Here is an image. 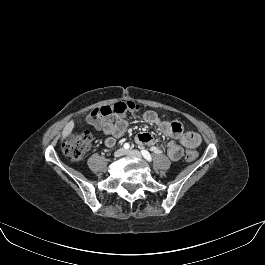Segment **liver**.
Segmentation results:
<instances>
[{"label": "liver", "instance_id": "liver-1", "mask_svg": "<svg viewBox=\"0 0 265 265\" xmlns=\"http://www.w3.org/2000/svg\"><path fill=\"white\" fill-rule=\"evenodd\" d=\"M73 128H74V121L71 120L65 125V127L62 131V137L66 138L67 136H69L70 133L72 132Z\"/></svg>", "mask_w": 265, "mask_h": 265}]
</instances>
